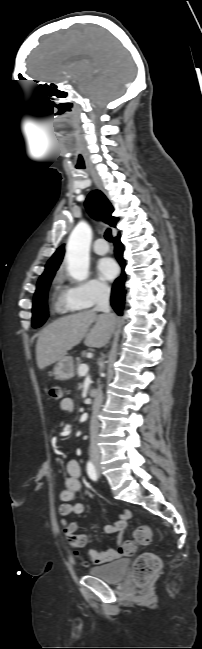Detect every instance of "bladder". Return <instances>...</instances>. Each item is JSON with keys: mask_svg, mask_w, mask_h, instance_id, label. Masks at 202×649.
Returning <instances> with one entry per match:
<instances>
[{"mask_svg": "<svg viewBox=\"0 0 202 649\" xmlns=\"http://www.w3.org/2000/svg\"><path fill=\"white\" fill-rule=\"evenodd\" d=\"M129 566L128 559H120L112 563L94 567L89 573L91 576L108 583L119 582Z\"/></svg>", "mask_w": 202, "mask_h": 649, "instance_id": "obj_1", "label": "bladder"}]
</instances>
